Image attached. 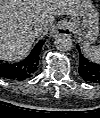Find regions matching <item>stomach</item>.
Segmentation results:
<instances>
[{"label": "stomach", "mask_w": 100, "mask_h": 118, "mask_svg": "<svg viewBox=\"0 0 100 118\" xmlns=\"http://www.w3.org/2000/svg\"><path fill=\"white\" fill-rule=\"evenodd\" d=\"M69 27L83 43L92 44L100 35V14L91 0H83L71 16Z\"/></svg>", "instance_id": "obj_1"}]
</instances>
